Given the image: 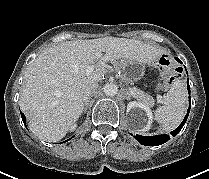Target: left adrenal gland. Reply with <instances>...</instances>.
<instances>
[{"mask_svg": "<svg viewBox=\"0 0 209 179\" xmlns=\"http://www.w3.org/2000/svg\"><path fill=\"white\" fill-rule=\"evenodd\" d=\"M125 93H126V99L130 100L131 99L130 93L127 90H125Z\"/></svg>", "mask_w": 209, "mask_h": 179, "instance_id": "obj_1", "label": "left adrenal gland"}]
</instances>
